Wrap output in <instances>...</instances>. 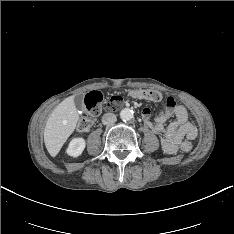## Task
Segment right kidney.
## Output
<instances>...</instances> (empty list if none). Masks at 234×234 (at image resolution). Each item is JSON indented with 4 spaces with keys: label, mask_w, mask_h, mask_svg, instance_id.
Returning <instances> with one entry per match:
<instances>
[{
    "label": "right kidney",
    "mask_w": 234,
    "mask_h": 234,
    "mask_svg": "<svg viewBox=\"0 0 234 234\" xmlns=\"http://www.w3.org/2000/svg\"><path fill=\"white\" fill-rule=\"evenodd\" d=\"M86 147V142L82 137L74 138L70 141L66 150L67 154L72 157H78L82 154Z\"/></svg>",
    "instance_id": "1"
}]
</instances>
